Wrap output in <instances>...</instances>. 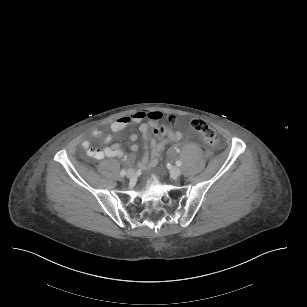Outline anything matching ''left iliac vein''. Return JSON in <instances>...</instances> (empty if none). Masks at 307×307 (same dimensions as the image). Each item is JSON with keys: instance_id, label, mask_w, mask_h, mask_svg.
<instances>
[{"instance_id": "4c4485c4", "label": "left iliac vein", "mask_w": 307, "mask_h": 307, "mask_svg": "<svg viewBox=\"0 0 307 307\" xmlns=\"http://www.w3.org/2000/svg\"><path fill=\"white\" fill-rule=\"evenodd\" d=\"M170 174L172 176L173 179H177L180 175H181V170L179 167H172L170 169Z\"/></svg>"}]
</instances>
